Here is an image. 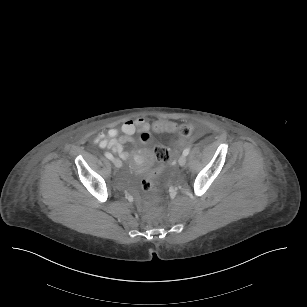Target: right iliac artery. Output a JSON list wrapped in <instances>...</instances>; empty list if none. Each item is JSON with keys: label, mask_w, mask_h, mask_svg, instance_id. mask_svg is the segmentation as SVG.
Wrapping results in <instances>:
<instances>
[{"label": "right iliac artery", "mask_w": 307, "mask_h": 307, "mask_svg": "<svg viewBox=\"0 0 307 307\" xmlns=\"http://www.w3.org/2000/svg\"><path fill=\"white\" fill-rule=\"evenodd\" d=\"M105 156H106L108 159H110V160L113 159V155H112L111 153H109V152H106V153H105Z\"/></svg>", "instance_id": "82829eb1"}]
</instances>
